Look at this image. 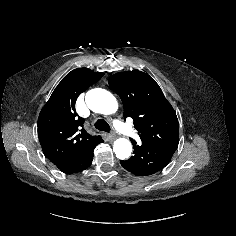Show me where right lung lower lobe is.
I'll return each mask as SVG.
<instances>
[{"label": "right lung lower lobe", "instance_id": "98d812e1", "mask_svg": "<svg viewBox=\"0 0 236 236\" xmlns=\"http://www.w3.org/2000/svg\"><path fill=\"white\" fill-rule=\"evenodd\" d=\"M102 142H100V143H102ZM98 144H95V145L81 151L80 153H78L72 157L61 160V161L56 162L54 164L56 165V167L60 171L67 173V174L81 172V171L87 169L91 165L92 160H93V155H94L93 151H94V148Z\"/></svg>", "mask_w": 236, "mask_h": 236}]
</instances>
